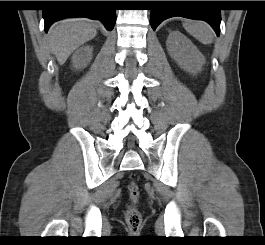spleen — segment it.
<instances>
[{
	"label": "spleen",
	"mask_w": 265,
	"mask_h": 245,
	"mask_svg": "<svg viewBox=\"0 0 265 245\" xmlns=\"http://www.w3.org/2000/svg\"><path fill=\"white\" fill-rule=\"evenodd\" d=\"M185 30L191 34L194 38L199 40L203 44H210L213 41L212 29L202 21H185L183 23Z\"/></svg>",
	"instance_id": "obj_1"
}]
</instances>
